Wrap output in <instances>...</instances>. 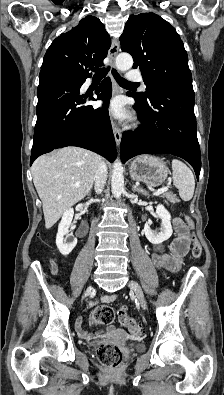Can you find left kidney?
<instances>
[{
	"instance_id": "left-kidney-1",
	"label": "left kidney",
	"mask_w": 224,
	"mask_h": 395,
	"mask_svg": "<svg viewBox=\"0 0 224 395\" xmlns=\"http://www.w3.org/2000/svg\"><path fill=\"white\" fill-rule=\"evenodd\" d=\"M156 214L157 217L161 219L162 225H161V231L160 232H155L151 230L149 227V224L146 223L144 226V233L146 238L151 242L152 244L158 245L161 244L162 242L166 241L169 239L172 235V226H171V215L170 213L166 210V208L163 205H158L156 208Z\"/></svg>"
}]
</instances>
